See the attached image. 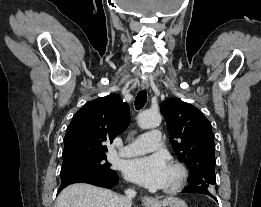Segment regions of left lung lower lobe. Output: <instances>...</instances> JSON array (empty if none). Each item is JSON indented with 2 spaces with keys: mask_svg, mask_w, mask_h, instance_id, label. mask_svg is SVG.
Returning <instances> with one entry per match:
<instances>
[{
  "mask_svg": "<svg viewBox=\"0 0 261 207\" xmlns=\"http://www.w3.org/2000/svg\"><path fill=\"white\" fill-rule=\"evenodd\" d=\"M182 193H200V194H206L211 196L213 199L217 201V199L209 192L207 187L204 186H189L186 187Z\"/></svg>",
  "mask_w": 261,
  "mask_h": 207,
  "instance_id": "1",
  "label": "left lung lower lobe"
}]
</instances>
